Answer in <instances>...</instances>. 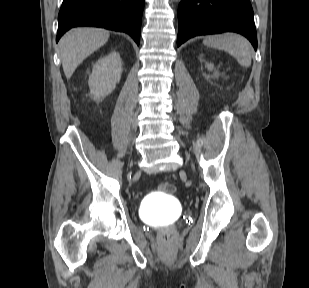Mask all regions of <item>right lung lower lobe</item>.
<instances>
[{"label":"right lung lower lobe","instance_id":"1","mask_svg":"<svg viewBox=\"0 0 309 288\" xmlns=\"http://www.w3.org/2000/svg\"><path fill=\"white\" fill-rule=\"evenodd\" d=\"M144 0H63L56 42L70 28L95 26L129 34L139 45Z\"/></svg>","mask_w":309,"mask_h":288}]
</instances>
